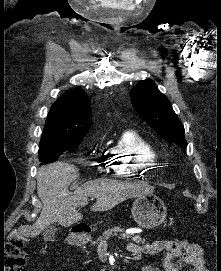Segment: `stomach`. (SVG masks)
<instances>
[{"mask_svg": "<svg viewBox=\"0 0 221 271\" xmlns=\"http://www.w3.org/2000/svg\"><path fill=\"white\" fill-rule=\"evenodd\" d=\"M132 217L138 225L152 229L163 223L166 217V208L161 199L155 195H140L135 199L132 207ZM82 237V234H79Z\"/></svg>", "mask_w": 221, "mask_h": 271, "instance_id": "0dacf381", "label": "stomach"}]
</instances>
